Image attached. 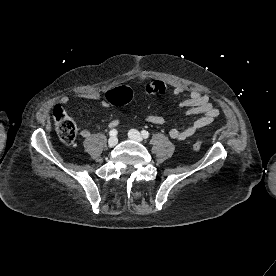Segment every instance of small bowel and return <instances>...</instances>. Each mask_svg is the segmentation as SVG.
Instances as JSON below:
<instances>
[{
  "label": "small bowel",
  "instance_id": "small-bowel-1",
  "mask_svg": "<svg viewBox=\"0 0 276 276\" xmlns=\"http://www.w3.org/2000/svg\"><path fill=\"white\" fill-rule=\"evenodd\" d=\"M156 80L150 81L146 86V91L149 94H163L168 91L166 86L162 89L154 88L153 84ZM169 94L175 98H181L177 107L178 110L185 116L199 115L192 119L189 124L182 128H172L169 131V136L177 141H183L193 136L200 129L214 122L219 115V110L211 102L210 98L196 90H185L182 86H174L169 90ZM77 98L94 100L101 102L104 106L108 103L97 92H84L75 95ZM68 97L64 96L60 99L61 104L68 102ZM146 121L154 125H164L166 120L164 117L156 114H149L146 116ZM119 119H113L109 122L110 128H116L119 125ZM91 132L88 129L81 130L83 138L90 137Z\"/></svg>",
  "mask_w": 276,
  "mask_h": 276
}]
</instances>
